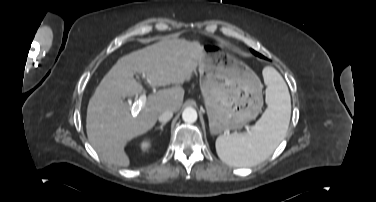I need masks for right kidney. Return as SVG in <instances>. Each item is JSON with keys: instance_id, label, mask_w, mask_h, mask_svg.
Returning a JSON list of instances; mask_svg holds the SVG:
<instances>
[{"instance_id": "1", "label": "right kidney", "mask_w": 376, "mask_h": 202, "mask_svg": "<svg viewBox=\"0 0 376 202\" xmlns=\"http://www.w3.org/2000/svg\"><path fill=\"white\" fill-rule=\"evenodd\" d=\"M150 139L149 138H145L141 141L140 143V148L143 150V151H146L148 150V148L150 147Z\"/></svg>"}]
</instances>
